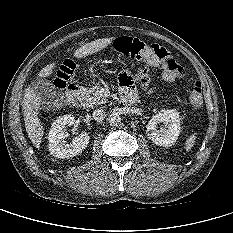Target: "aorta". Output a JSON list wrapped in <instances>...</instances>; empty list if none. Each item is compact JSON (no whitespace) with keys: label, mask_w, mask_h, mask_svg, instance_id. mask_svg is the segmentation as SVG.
Instances as JSON below:
<instances>
[{"label":"aorta","mask_w":233,"mask_h":233,"mask_svg":"<svg viewBox=\"0 0 233 233\" xmlns=\"http://www.w3.org/2000/svg\"><path fill=\"white\" fill-rule=\"evenodd\" d=\"M121 122V117L117 113H112L108 116V123L111 126H116Z\"/></svg>","instance_id":"1"}]
</instances>
